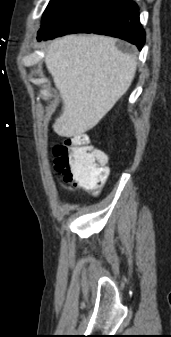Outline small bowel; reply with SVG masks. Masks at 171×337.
Returning <instances> with one entry per match:
<instances>
[{
	"label": "small bowel",
	"instance_id": "1",
	"mask_svg": "<svg viewBox=\"0 0 171 337\" xmlns=\"http://www.w3.org/2000/svg\"><path fill=\"white\" fill-rule=\"evenodd\" d=\"M60 189L69 193H74V189L72 187L65 186L63 184H60Z\"/></svg>",
	"mask_w": 171,
	"mask_h": 337
}]
</instances>
